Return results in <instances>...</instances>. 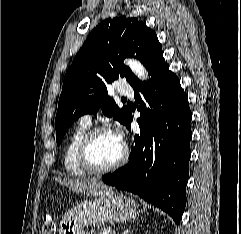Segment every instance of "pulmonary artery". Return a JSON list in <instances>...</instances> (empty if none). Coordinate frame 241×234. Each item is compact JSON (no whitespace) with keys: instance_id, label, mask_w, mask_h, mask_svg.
Masks as SVG:
<instances>
[{"instance_id":"e3ab8cb5","label":"pulmonary artery","mask_w":241,"mask_h":234,"mask_svg":"<svg viewBox=\"0 0 241 234\" xmlns=\"http://www.w3.org/2000/svg\"><path fill=\"white\" fill-rule=\"evenodd\" d=\"M117 90L121 95L132 96L133 94V89L127 84H120ZM91 120L92 118L89 114L83 115L80 118V122H83L86 124H91Z\"/></svg>"}]
</instances>
